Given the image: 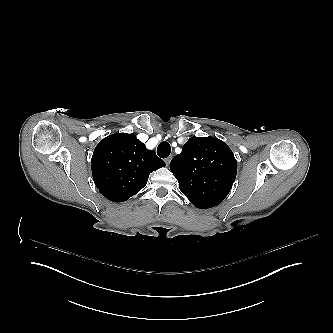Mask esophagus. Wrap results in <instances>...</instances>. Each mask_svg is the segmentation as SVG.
Segmentation results:
<instances>
[{
  "label": "esophagus",
  "mask_w": 333,
  "mask_h": 333,
  "mask_svg": "<svg viewBox=\"0 0 333 333\" xmlns=\"http://www.w3.org/2000/svg\"><path fill=\"white\" fill-rule=\"evenodd\" d=\"M170 161H171V157H168V158L165 160V162H166L167 165L170 163Z\"/></svg>",
  "instance_id": "1"
}]
</instances>
